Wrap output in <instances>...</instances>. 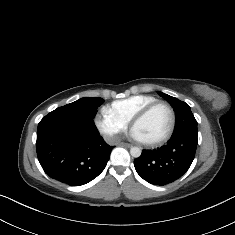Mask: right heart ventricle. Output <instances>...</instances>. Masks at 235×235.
Here are the masks:
<instances>
[{
    "label": "right heart ventricle",
    "mask_w": 235,
    "mask_h": 235,
    "mask_svg": "<svg viewBox=\"0 0 235 235\" xmlns=\"http://www.w3.org/2000/svg\"><path fill=\"white\" fill-rule=\"evenodd\" d=\"M157 101L151 94H136L113 102L110 108L114 115L129 123L142 109Z\"/></svg>",
    "instance_id": "obj_1"
}]
</instances>
